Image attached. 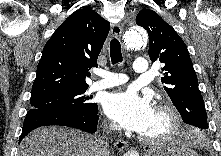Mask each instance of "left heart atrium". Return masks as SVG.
<instances>
[{
	"label": "left heart atrium",
	"mask_w": 221,
	"mask_h": 156,
	"mask_svg": "<svg viewBox=\"0 0 221 156\" xmlns=\"http://www.w3.org/2000/svg\"><path fill=\"white\" fill-rule=\"evenodd\" d=\"M105 113L120 127L142 134L151 123L155 109L148 96L128 88L107 95Z\"/></svg>",
	"instance_id": "left-heart-atrium-1"
}]
</instances>
